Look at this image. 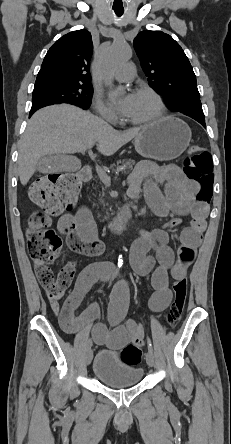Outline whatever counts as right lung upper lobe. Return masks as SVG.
Listing matches in <instances>:
<instances>
[{"instance_id": "cb5924a9", "label": "right lung upper lobe", "mask_w": 231, "mask_h": 444, "mask_svg": "<svg viewBox=\"0 0 231 444\" xmlns=\"http://www.w3.org/2000/svg\"><path fill=\"white\" fill-rule=\"evenodd\" d=\"M92 51L91 34L87 30L62 36L48 50L35 86L52 83L91 85L89 65Z\"/></svg>"}]
</instances>
